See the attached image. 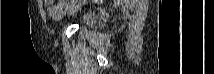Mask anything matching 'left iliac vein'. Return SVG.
Masks as SVG:
<instances>
[{"label":"left iliac vein","instance_id":"left-iliac-vein-1","mask_svg":"<svg viewBox=\"0 0 214 74\" xmlns=\"http://www.w3.org/2000/svg\"><path fill=\"white\" fill-rule=\"evenodd\" d=\"M82 3H78L76 4L74 7H72L69 11V15H72L74 14L77 10H79V8L81 7Z\"/></svg>","mask_w":214,"mask_h":74}]
</instances>
